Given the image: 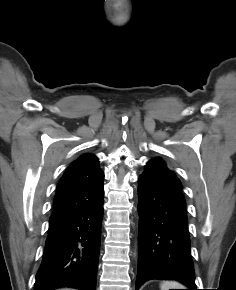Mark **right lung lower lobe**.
Here are the masks:
<instances>
[{
  "label": "right lung lower lobe",
  "instance_id": "1",
  "mask_svg": "<svg viewBox=\"0 0 236 290\" xmlns=\"http://www.w3.org/2000/svg\"><path fill=\"white\" fill-rule=\"evenodd\" d=\"M102 216L103 196L50 222L34 290H95Z\"/></svg>",
  "mask_w": 236,
  "mask_h": 290
}]
</instances>
